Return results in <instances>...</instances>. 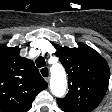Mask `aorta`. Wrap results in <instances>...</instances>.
<instances>
[{"label": "aorta", "mask_w": 112, "mask_h": 112, "mask_svg": "<svg viewBox=\"0 0 112 112\" xmlns=\"http://www.w3.org/2000/svg\"><path fill=\"white\" fill-rule=\"evenodd\" d=\"M50 89L52 94L56 97H62L66 93V73L60 64H56L51 68Z\"/></svg>", "instance_id": "aorta-1"}]
</instances>
